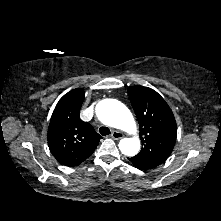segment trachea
<instances>
[{
    "label": "trachea",
    "instance_id": "trachea-1",
    "mask_svg": "<svg viewBox=\"0 0 221 221\" xmlns=\"http://www.w3.org/2000/svg\"><path fill=\"white\" fill-rule=\"evenodd\" d=\"M99 132L102 136H106V135H109L111 133L110 130L105 126L100 127Z\"/></svg>",
    "mask_w": 221,
    "mask_h": 221
}]
</instances>
